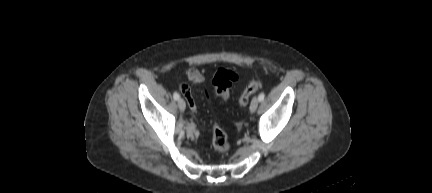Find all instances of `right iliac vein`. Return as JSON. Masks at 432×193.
<instances>
[{"label":"right iliac vein","mask_w":432,"mask_h":193,"mask_svg":"<svg viewBox=\"0 0 432 193\" xmlns=\"http://www.w3.org/2000/svg\"><path fill=\"white\" fill-rule=\"evenodd\" d=\"M178 107H179L180 111H184L186 108V103L182 98H180L178 100Z\"/></svg>","instance_id":"obj_1"}]
</instances>
